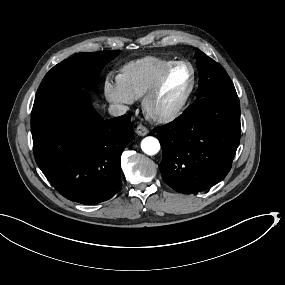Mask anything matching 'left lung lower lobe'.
Returning <instances> with one entry per match:
<instances>
[{
	"label": "left lung lower lobe",
	"instance_id": "obj_1",
	"mask_svg": "<svg viewBox=\"0 0 285 285\" xmlns=\"http://www.w3.org/2000/svg\"><path fill=\"white\" fill-rule=\"evenodd\" d=\"M154 130L163 151L159 168L164 182L184 194L204 191L231 169L241 132L237 93L203 97Z\"/></svg>",
	"mask_w": 285,
	"mask_h": 285
}]
</instances>
